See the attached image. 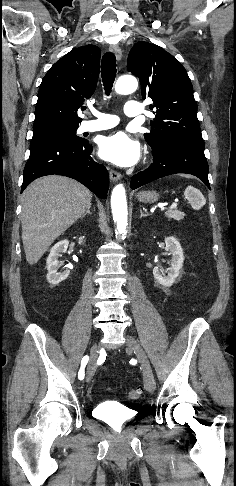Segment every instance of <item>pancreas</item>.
<instances>
[{
  "instance_id": "1",
  "label": "pancreas",
  "mask_w": 236,
  "mask_h": 486,
  "mask_svg": "<svg viewBox=\"0 0 236 486\" xmlns=\"http://www.w3.org/2000/svg\"><path fill=\"white\" fill-rule=\"evenodd\" d=\"M166 216L169 218V219H174L176 221H181L185 214L181 211H177V210H171V211H168L166 212Z\"/></svg>"
}]
</instances>
